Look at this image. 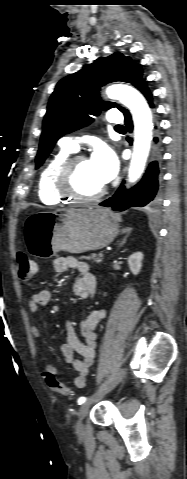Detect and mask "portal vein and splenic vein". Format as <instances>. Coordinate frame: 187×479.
Wrapping results in <instances>:
<instances>
[{"label":"portal vein and splenic vein","mask_w":187,"mask_h":479,"mask_svg":"<svg viewBox=\"0 0 187 479\" xmlns=\"http://www.w3.org/2000/svg\"><path fill=\"white\" fill-rule=\"evenodd\" d=\"M98 255H99V257H102V258L104 256L102 252H100Z\"/></svg>","instance_id":"obj_1"}]
</instances>
